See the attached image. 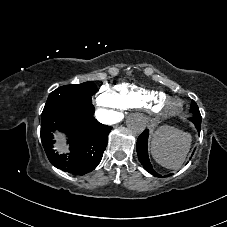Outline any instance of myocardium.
I'll list each match as a JSON object with an SVG mask.
<instances>
[{
  "mask_svg": "<svg viewBox=\"0 0 227 227\" xmlns=\"http://www.w3.org/2000/svg\"><path fill=\"white\" fill-rule=\"evenodd\" d=\"M182 107V102L171 97L159 101L152 112L160 117H169L176 114Z\"/></svg>",
  "mask_w": 227,
  "mask_h": 227,
  "instance_id": "1",
  "label": "myocardium"
}]
</instances>
